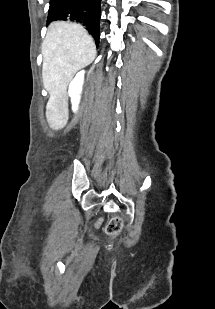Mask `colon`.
Returning a JSON list of instances; mask_svg holds the SVG:
<instances>
[{
  "label": "colon",
  "mask_w": 215,
  "mask_h": 309,
  "mask_svg": "<svg viewBox=\"0 0 215 309\" xmlns=\"http://www.w3.org/2000/svg\"><path fill=\"white\" fill-rule=\"evenodd\" d=\"M122 228V222L119 219H115L112 220L111 222H109L106 227H105V231L107 234L111 235V234H115L117 232H119Z\"/></svg>",
  "instance_id": "colon-1"
}]
</instances>
